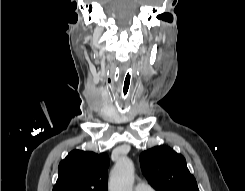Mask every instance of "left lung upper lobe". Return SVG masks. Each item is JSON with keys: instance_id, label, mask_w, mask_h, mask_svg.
<instances>
[{"instance_id": "obj_1", "label": "left lung upper lobe", "mask_w": 245, "mask_h": 191, "mask_svg": "<svg viewBox=\"0 0 245 191\" xmlns=\"http://www.w3.org/2000/svg\"><path fill=\"white\" fill-rule=\"evenodd\" d=\"M142 172L158 191H199L184 156L167 146H157L140 155Z\"/></svg>"}]
</instances>
